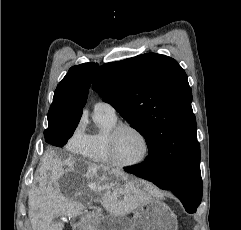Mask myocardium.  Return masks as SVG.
Listing matches in <instances>:
<instances>
[{
	"instance_id": "1",
	"label": "myocardium",
	"mask_w": 241,
	"mask_h": 230,
	"mask_svg": "<svg viewBox=\"0 0 241 230\" xmlns=\"http://www.w3.org/2000/svg\"><path fill=\"white\" fill-rule=\"evenodd\" d=\"M124 129H129L134 131L143 141V144H144L143 155L136 161L123 162V161H120L116 156V151H115L116 139L119 133ZM106 150L112 164L119 167H134L142 164L147 159L150 153V144L147 136L138 127L128 122H117L107 133Z\"/></svg>"
}]
</instances>
